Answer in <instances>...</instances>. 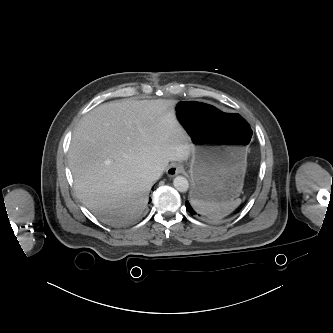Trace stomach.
Wrapping results in <instances>:
<instances>
[{"label": "stomach", "mask_w": 333, "mask_h": 333, "mask_svg": "<svg viewBox=\"0 0 333 333\" xmlns=\"http://www.w3.org/2000/svg\"><path fill=\"white\" fill-rule=\"evenodd\" d=\"M175 114L193 146L191 197L217 203L238 199L253 139L250 126L237 112L201 100L178 102Z\"/></svg>", "instance_id": "stomach-1"}]
</instances>
